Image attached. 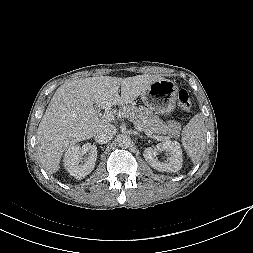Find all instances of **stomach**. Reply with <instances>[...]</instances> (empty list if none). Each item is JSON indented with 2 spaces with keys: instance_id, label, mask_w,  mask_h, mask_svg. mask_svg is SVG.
Wrapping results in <instances>:
<instances>
[{
  "instance_id": "0dacf381",
  "label": "stomach",
  "mask_w": 253,
  "mask_h": 253,
  "mask_svg": "<svg viewBox=\"0 0 253 253\" xmlns=\"http://www.w3.org/2000/svg\"><path fill=\"white\" fill-rule=\"evenodd\" d=\"M177 91L174 81L162 79L153 82L141 96L144 104L151 111L167 115L175 108Z\"/></svg>"
}]
</instances>
